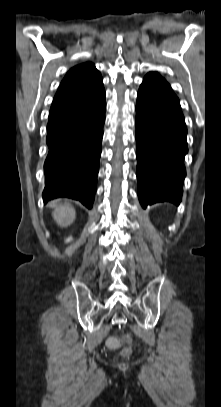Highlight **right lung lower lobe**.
I'll return each mask as SVG.
<instances>
[{"label": "right lung lower lobe", "mask_w": 221, "mask_h": 407, "mask_svg": "<svg viewBox=\"0 0 221 407\" xmlns=\"http://www.w3.org/2000/svg\"><path fill=\"white\" fill-rule=\"evenodd\" d=\"M105 90L50 109L43 200L68 197L91 208L96 192L105 122Z\"/></svg>", "instance_id": "obj_1"}]
</instances>
